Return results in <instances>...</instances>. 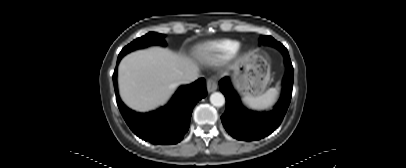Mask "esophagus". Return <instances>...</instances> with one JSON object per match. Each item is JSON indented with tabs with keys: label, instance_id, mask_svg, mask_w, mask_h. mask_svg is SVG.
Wrapping results in <instances>:
<instances>
[{
	"label": "esophagus",
	"instance_id": "obj_1",
	"mask_svg": "<svg viewBox=\"0 0 406 168\" xmlns=\"http://www.w3.org/2000/svg\"><path fill=\"white\" fill-rule=\"evenodd\" d=\"M218 84L214 78H209L207 80V91L208 93L214 92L217 90Z\"/></svg>",
	"mask_w": 406,
	"mask_h": 168
}]
</instances>
